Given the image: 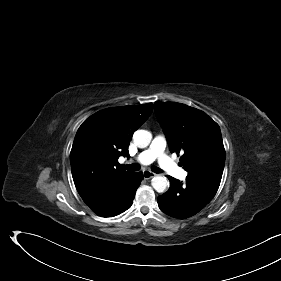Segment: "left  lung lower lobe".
Masks as SVG:
<instances>
[{"mask_svg": "<svg viewBox=\"0 0 281 281\" xmlns=\"http://www.w3.org/2000/svg\"><path fill=\"white\" fill-rule=\"evenodd\" d=\"M170 188L158 197L160 209L167 215L185 219L197 214L215 196L218 188L199 178H186L183 184L179 180L167 176Z\"/></svg>", "mask_w": 281, "mask_h": 281, "instance_id": "1", "label": "left lung lower lobe"}]
</instances>
